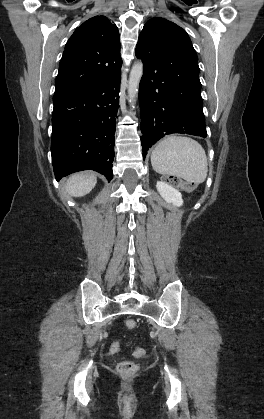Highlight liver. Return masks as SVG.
<instances>
[{"instance_id":"1","label":"liver","mask_w":264,"mask_h":419,"mask_svg":"<svg viewBox=\"0 0 264 419\" xmlns=\"http://www.w3.org/2000/svg\"><path fill=\"white\" fill-rule=\"evenodd\" d=\"M97 183V178L91 173H76L66 182V191L73 197H82L92 191Z\"/></svg>"}]
</instances>
